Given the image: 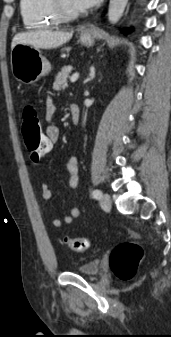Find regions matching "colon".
Returning <instances> with one entry per match:
<instances>
[{
    "mask_svg": "<svg viewBox=\"0 0 171 337\" xmlns=\"http://www.w3.org/2000/svg\"><path fill=\"white\" fill-rule=\"evenodd\" d=\"M21 131L30 161L36 163L51 151L52 141L42 134L35 107L32 105L26 106L23 111ZM64 242L74 251H84L89 247V241L85 237H65ZM143 254V249L137 242H122L111 252L110 268L120 280L130 281L136 275Z\"/></svg>",
    "mask_w": 171,
    "mask_h": 337,
    "instance_id": "5ec220e1",
    "label": "colon"
}]
</instances>
